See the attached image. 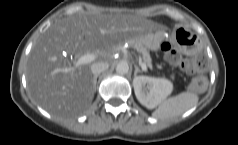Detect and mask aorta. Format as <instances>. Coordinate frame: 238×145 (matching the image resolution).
<instances>
[{"label":"aorta","mask_w":238,"mask_h":145,"mask_svg":"<svg viewBox=\"0 0 238 145\" xmlns=\"http://www.w3.org/2000/svg\"><path fill=\"white\" fill-rule=\"evenodd\" d=\"M116 72L118 74H127L129 72V65L127 62H119L116 66Z\"/></svg>","instance_id":"obj_1"}]
</instances>
